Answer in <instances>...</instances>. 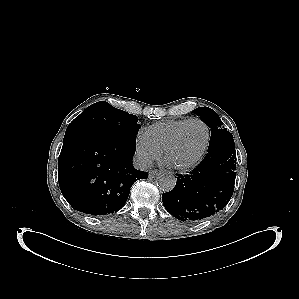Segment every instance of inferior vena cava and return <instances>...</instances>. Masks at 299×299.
Returning <instances> with one entry per match:
<instances>
[{"instance_id": "602c4592", "label": "inferior vena cava", "mask_w": 299, "mask_h": 299, "mask_svg": "<svg viewBox=\"0 0 299 299\" xmlns=\"http://www.w3.org/2000/svg\"><path fill=\"white\" fill-rule=\"evenodd\" d=\"M133 165L136 169L145 171L150 166V161L146 157L137 156L133 159Z\"/></svg>"}]
</instances>
